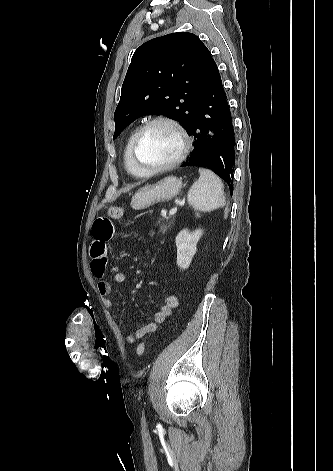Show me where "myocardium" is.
Masks as SVG:
<instances>
[{"mask_svg":"<svg viewBox=\"0 0 333 471\" xmlns=\"http://www.w3.org/2000/svg\"><path fill=\"white\" fill-rule=\"evenodd\" d=\"M155 124H166L172 127L176 131L180 139L181 147H180V152L178 156L172 161L166 164H162V165L147 166V165H144L139 159V149H140V145L142 143V140L146 132L149 130L150 127H152ZM190 147H191L190 137L180 123H178L176 120L167 116H156L148 120L147 122H145L136 132L134 139L132 141V145H131V158L135 167L143 175L147 176V175H152V174L168 171L180 165L187 157Z\"/></svg>","mask_w":333,"mask_h":471,"instance_id":"f54148a6","label":"myocardium"}]
</instances>
